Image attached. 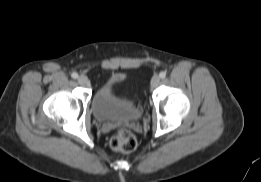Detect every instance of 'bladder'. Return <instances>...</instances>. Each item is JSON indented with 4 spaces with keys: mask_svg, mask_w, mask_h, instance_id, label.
<instances>
[{
    "mask_svg": "<svg viewBox=\"0 0 261 182\" xmlns=\"http://www.w3.org/2000/svg\"><path fill=\"white\" fill-rule=\"evenodd\" d=\"M120 76H109L96 90L92 98L94 117L101 122H128L135 119L141 107L134 103L127 94H115L113 86Z\"/></svg>",
    "mask_w": 261,
    "mask_h": 182,
    "instance_id": "bladder-1",
    "label": "bladder"
}]
</instances>
